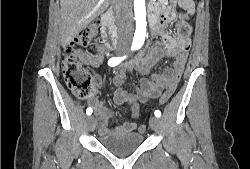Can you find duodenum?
I'll return each instance as SVG.
<instances>
[{
  "label": "duodenum",
  "mask_w": 250,
  "mask_h": 169,
  "mask_svg": "<svg viewBox=\"0 0 250 169\" xmlns=\"http://www.w3.org/2000/svg\"><path fill=\"white\" fill-rule=\"evenodd\" d=\"M102 34L105 44L110 48L118 46L119 41L112 18V11H106L102 16Z\"/></svg>",
  "instance_id": "410a0bca"
}]
</instances>
